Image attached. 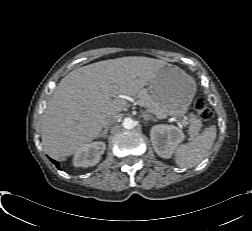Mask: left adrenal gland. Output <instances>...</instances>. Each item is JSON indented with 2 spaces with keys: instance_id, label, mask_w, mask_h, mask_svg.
I'll return each instance as SVG.
<instances>
[{
  "instance_id": "a2214340",
  "label": "left adrenal gland",
  "mask_w": 252,
  "mask_h": 231,
  "mask_svg": "<svg viewBox=\"0 0 252 231\" xmlns=\"http://www.w3.org/2000/svg\"><path fill=\"white\" fill-rule=\"evenodd\" d=\"M144 119L146 120V121H148L149 119H154L151 115H145L144 116Z\"/></svg>"
}]
</instances>
